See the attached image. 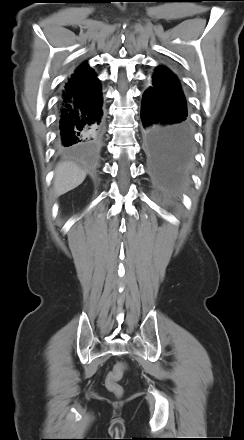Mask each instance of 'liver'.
<instances>
[{
  "label": "liver",
  "mask_w": 244,
  "mask_h": 440,
  "mask_svg": "<svg viewBox=\"0 0 244 440\" xmlns=\"http://www.w3.org/2000/svg\"><path fill=\"white\" fill-rule=\"evenodd\" d=\"M86 177V171L72 162L59 163L55 169L54 194L60 196L79 186Z\"/></svg>",
  "instance_id": "1"
}]
</instances>
